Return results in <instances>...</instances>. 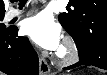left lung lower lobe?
<instances>
[{
    "mask_svg": "<svg viewBox=\"0 0 107 75\" xmlns=\"http://www.w3.org/2000/svg\"><path fill=\"white\" fill-rule=\"evenodd\" d=\"M106 27L100 25L96 30L91 32L90 39L94 45V49L88 57L80 58V62L65 67L64 70H70L78 66L93 65L107 70V32Z\"/></svg>",
    "mask_w": 107,
    "mask_h": 75,
    "instance_id": "left-lung-lower-lobe-1",
    "label": "left lung lower lobe"
}]
</instances>
